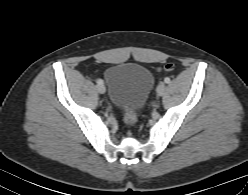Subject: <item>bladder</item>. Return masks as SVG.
Returning a JSON list of instances; mask_svg holds the SVG:
<instances>
[{
  "label": "bladder",
  "mask_w": 248,
  "mask_h": 195,
  "mask_svg": "<svg viewBox=\"0 0 248 195\" xmlns=\"http://www.w3.org/2000/svg\"><path fill=\"white\" fill-rule=\"evenodd\" d=\"M104 78L111 102L124 110H141L154 84L151 72L136 63L113 64Z\"/></svg>",
  "instance_id": "1"
}]
</instances>
